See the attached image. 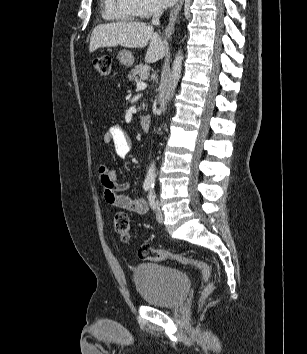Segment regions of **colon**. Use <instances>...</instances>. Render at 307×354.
Here are the masks:
<instances>
[{
    "mask_svg": "<svg viewBox=\"0 0 307 354\" xmlns=\"http://www.w3.org/2000/svg\"><path fill=\"white\" fill-rule=\"evenodd\" d=\"M112 60L108 55H102L94 60V67L102 76H107L111 71ZM114 230L122 241H128L130 238V223L127 214L119 212L115 215L113 221ZM138 255L141 259L149 261L173 260L180 264L189 265L196 269L202 280L203 288L201 296L207 298L213 291L214 284L209 266L204 262L188 258L179 254H171L166 251L155 249L148 244L139 247Z\"/></svg>",
    "mask_w": 307,
    "mask_h": 354,
    "instance_id": "colon-1",
    "label": "colon"
}]
</instances>
